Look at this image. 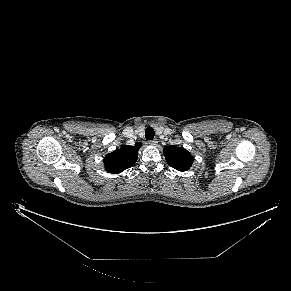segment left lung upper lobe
Instances as JSON below:
<instances>
[{
    "label": "left lung upper lobe",
    "mask_w": 291,
    "mask_h": 291,
    "mask_svg": "<svg viewBox=\"0 0 291 291\" xmlns=\"http://www.w3.org/2000/svg\"><path fill=\"white\" fill-rule=\"evenodd\" d=\"M163 154L169 166L178 171H187L192 166L194 157L184 148L177 146H167Z\"/></svg>",
    "instance_id": "5c2ea615"
}]
</instances>
